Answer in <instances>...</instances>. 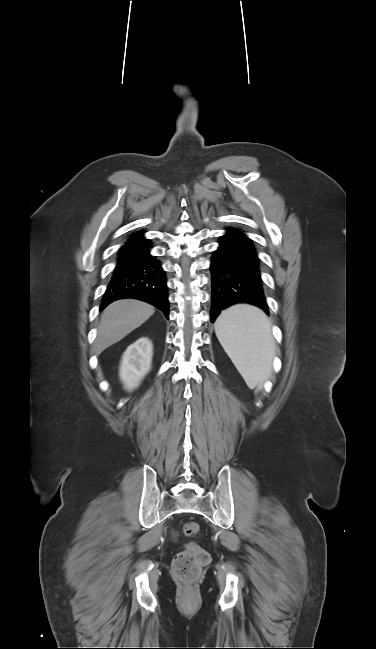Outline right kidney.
<instances>
[{
  "mask_svg": "<svg viewBox=\"0 0 376 649\" xmlns=\"http://www.w3.org/2000/svg\"><path fill=\"white\" fill-rule=\"evenodd\" d=\"M152 342L142 337L131 344L122 356L120 378L124 388L132 391L151 369Z\"/></svg>",
  "mask_w": 376,
  "mask_h": 649,
  "instance_id": "1",
  "label": "right kidney"
}]
</instances>
